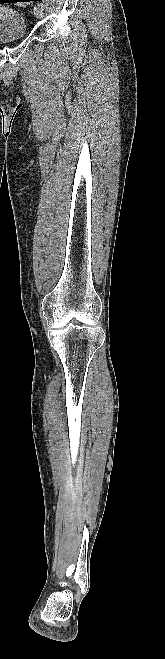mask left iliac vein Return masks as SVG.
Masks as SVG:
<instances>
[{"label":"left iliac vein","instance_id":"1","mask_svg":"<svg viewBox=\"0 0 165 659\" xmlns=\"http://www.w3.org/2000/svg\"><path fill=\"white\" fill-rule=\"evenodd\" d=\"M34 15H35L36 18H38V19H42V18L44 17V10H43V8L40 7L39 5L35 6V7H34Z\"/></svg>","mask_w":165,"mask_h":659}]
</instances>
